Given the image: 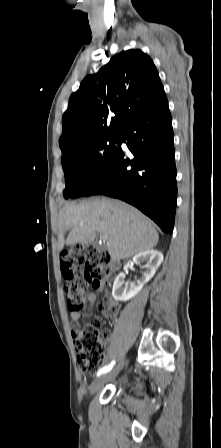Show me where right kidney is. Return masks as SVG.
<instances>
[{
    "label": "right kidney",
    "instance_id": "right-kidney-1",
    "mask_svg": "<svg viewBox=\"0 0 221 448\" xmlns=\"http://www.w3.org/2000/svg\"><path fill=\"white\" fill-rule=\"evenodd\" d=\"M162 261L163 254L160 251L153 249L143 251L135 255L133 257V262L137 265L147 262V264L143 266L146 270L142 273V277L140 279H137L136 282L130 284L125 282V274L123 272L119 273L113 284V298L118 301L126 302L137 295L143 286L155 275Z\"/></svg>",
    "mask_w": 221,
    "mask_h": 448
}]
</instances>
